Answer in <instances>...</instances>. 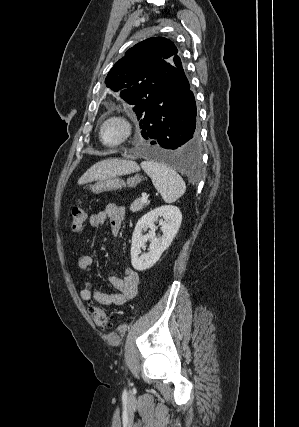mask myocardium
Wrapping results in <instances>:
<instances>
[{
    "label": "myocardium",
    "mask_w": 299,
    "mask_h": 427,
    "mask_svg": "<svg viewBox=\"0 0 299 427\" xmlns=\"http://www.w3.org/2000/svg\"><path fill=\"white\" fill-rule=\"evenodd\" d=\"M110 121H118L123 127V132H122L121 137L119 138V140H117L116 142H113V143L105 142L103 139V136H102L104 126ZM133 132H134V126H133L132 121L129 119V117H127L124 114L114 113V114H111V115L105 117L100 122L99 128H98V137H99L100 142L103 145H105L107 147H118V146L126 143L131 138V136L133 135Z\"/></svg>",
    "instance_id": "obj_1"
}]
</instances>
